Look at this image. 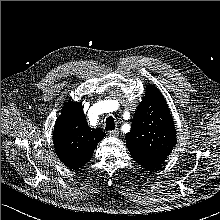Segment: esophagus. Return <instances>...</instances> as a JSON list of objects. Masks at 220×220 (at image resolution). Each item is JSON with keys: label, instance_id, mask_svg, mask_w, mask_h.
I'll return each instance as SVG.
<instances>
[{"label": "esophagus", "instance_id": "1", "mask_svg": "<svg viewBox=\"0 0 220 220\" xmlns=\"http://www.w3.org/2000/svg\"><path fill=\"white\" fill-rule=\"evenodd\" d=\"M108 134H109L110 136L116 137V136L119 135V129H115V130L108 131Z\"/></svg>", "mask_w": 220, "mask_h": 220}]
</instances>
